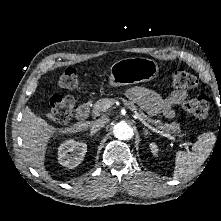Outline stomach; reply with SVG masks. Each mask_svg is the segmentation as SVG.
<instances>
[{"label": "stomach", "mask_w": 221, "mask_h": 221, "mask_svg": "<svg viewBox=\"0 0 221 221\" xmlns=\"http://www.w3.org/2000/svg\"><path fill=\"white\" fill-rule=\"evenodd\" d=\"M158 71L157 63L151 59L124 58L112 65L109 85L119 87L150 81L157 77Z\"/></svg>", "instance_id": "stomach-1"}]
</instances>
